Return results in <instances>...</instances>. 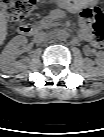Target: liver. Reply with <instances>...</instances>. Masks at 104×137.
<instances>
[{
  "label": "liver",
  "mask_w": 104,
  "mask_h": 137,
  "mask_svg": "<svg viewBox=\"0 0 104 137\" xmlns=\"http://www.w3.org/2000/svg\"><path fill=\"white\" fill-rule=\"evenodd\" d=\"M7 34V21L4 16V12H1V17H0V35H1V40H4Z\"/></svg>",
  "instance_id": "6515ba94"
}]
</instances>
